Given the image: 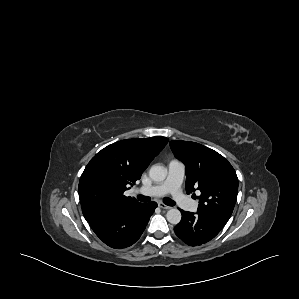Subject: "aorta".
<instances>
[{
    "label": "aorta",
    "mask_w": 299,
    "mask_h": 299,
    "mask_svg": "<svg viewBox=\"0 0 299 299\" xmlns=\"http://www.w3.org/2000/svg\"><path fill=\"white\" fill-rule=\"evenodd\" d=\"M167 175L166 170L159 165H153L150 170H149V177L154 181V182H162L165 180ZM181 212L176 209L172 208L167 211L166 218L167 221L171 224H178L181 221Z\"/></svg>",
    "instance_id": "aorta-1"
}]
</instances>
